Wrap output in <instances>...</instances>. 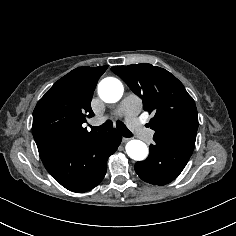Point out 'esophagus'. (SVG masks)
<instances>
[{
  "mask_svg": "<svg viewBox=\"0 0 236 236\" xmlns=\"http://www.w3.org/2000/svg\"><path fill=\"white\" fill-rule=\"evenodd\" d=\"M128 140H130V138H128V137H123V139H122V141L125 143V142H127Z\"/></svg>",
  "mask_w": 236,
  "mask_h": 236,
  "instance_id": "1",
  "label": "esophagus"
}]
</instances>
